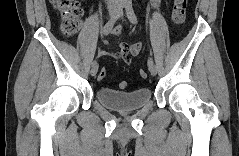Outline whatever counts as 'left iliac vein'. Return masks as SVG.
<instances>
[{
    "label": "left iliac vein",
    "mask_w": 239,
    "mask_h": 156,
    "mask_svg": "<svg viewBox=\"0 0 239 156\" xmlns=\"http://www.w3.org/2000/svg\"><path fill=\"white\" fill-rule=\"evenodd\" d=\"M123 16V13L120 14V18ZM149 71L151 73V75L155 76L157 74V68L156 66L153 64L151 66H149Z\"/></svg>",
    "instance_id": "left-iliac-vein-1"
}]
</instances>
